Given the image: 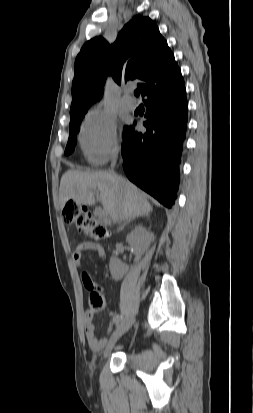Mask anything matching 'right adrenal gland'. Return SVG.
I'll list each match as a JSON object with an SVG mask.
<instances>
[{
	"label": "right adrenal gland",
	"instance_id": "obj_1",
	"mask_svg": "<svg viewBox=\"0 0 253 413\" xmlns=\"http://www.w3.org/2000/svg\"><path fill=\"white\" fill-rule=\"evenodd\" d=\"M135 218H136V217H132V218L127 219V220L124 222V224L119 228V230H122L127 223L135 220Z\"/></svg>",
	"mask_w": 253,
	"mask_h": 413
}]
</instances>
